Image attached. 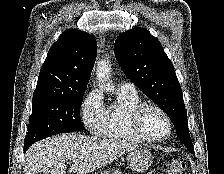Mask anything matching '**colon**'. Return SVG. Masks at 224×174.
<instances>
[{
    "mask_svg": "<svg viewBox=\"0 0 224 174\" xmlns=\"http://www.w3.org/2000/svg\"><path fill=\"white\" fill-rule=\"evenodd\" d=\"M185 171V163L181 160L173 159L167 163V174H183Z\"/></svg>",
    "mask_w": 224,
    "mask_h": 174,
    "instance_id": "1",
    "label": "colon"
}]
</instances>
